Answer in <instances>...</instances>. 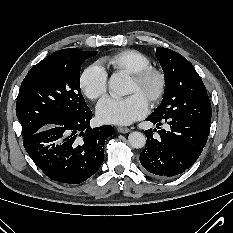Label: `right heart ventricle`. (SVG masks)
<instances>
[{"label":"right heart ventricle","instance_id":"e07e8e85","mask_svg":"<svg viewBox=\"0 0 233 233\" xmlns=\"http://www.w3.org/2000/svg\"><path fill=\"white\" fill-rule=\"evenodd\" d=\"M102 62L108 67L131 75L143 68L151 66L150 59L134 49L118 51L111 56L103 58Z\"/></svg>","mask_w":233,"mask_h":233}]
</instances>
